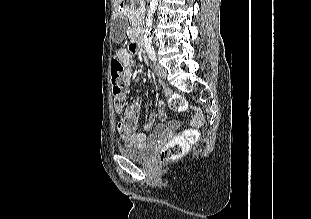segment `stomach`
<instances>
[{
	"mask_svg": "<svg viewBox=\"0 0 311 219\" xmlns=\"http://www.w3.org/2000/svg\"><path fill=\"white\" fill-rule=\"evenodd\" d=\"M119 17H122L125 21L127 20V18H126L124 15L119 14V15L117 16V18H119Z\"/></svg>",
	"mask_w": 311,
	"mask_h": 219,
	"instance_id": "1",
	"label": "stomach"
}]
</instances>
